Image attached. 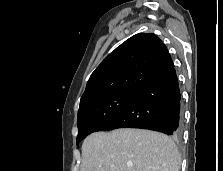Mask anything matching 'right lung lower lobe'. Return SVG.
<instances>
[{"label": "right lung lower lobe", "mask_w": 223, "mask_h": 171, "mask_svg": "<svg viewBox=\"0 0 223 171\" xmlns=\"http://www.w3.org/2000/svg\"><path fill=\"white\" fill-rule=\"evenodd\" d=\"M117 128L150 129L174 137L181 136V95L174 67L140 91L129 104L97 131Z\"/></svg>", "instance_id": "98d812e1"}]
</instances>
